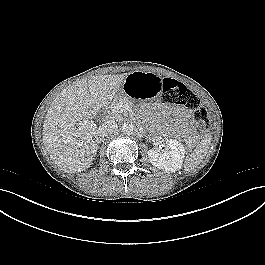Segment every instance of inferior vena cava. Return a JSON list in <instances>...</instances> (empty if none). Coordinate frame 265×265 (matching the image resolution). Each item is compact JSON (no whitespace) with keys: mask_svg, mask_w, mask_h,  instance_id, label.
<instances>
[{"mask_svg":"<svg viewBox=\"0 0 265 265\" xmlns=\"http://www.w3.org/2000/svg\"><path fill=\"white\" fill-rule=\"evenodd\" d=\"M117 124L113 120H108L104 122L98 129V135L108 136L114 133L117 129Z\"/></svg>","mask_w":265,"mask_h":265,"instance_id":"602c4592","label":"inferior vena cava"}]
</instances>
